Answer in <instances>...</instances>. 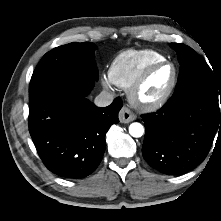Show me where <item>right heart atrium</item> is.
<instances>
[{
	"label": "right heart atrium",
	"mask_w": 221,
	"mask_h": 221,
	"mask_svg": "<svg viewBox=\"0 0 221 221\" xmlns=\"http://www.w3.org/2000/svg\"><path fill=\"white\" fill-rule=\"evenodd\" d=\"M112 81H111V79L109 78V76H103L102 77V84L105 86V87H111V85H112Z\"/></svg>",
	"instance_id": "d8ad5b80"
}]
</instances>
